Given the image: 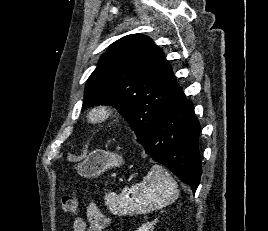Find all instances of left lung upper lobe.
<instances>
[{
	"instance_id": "obj_1",
	"label": "left lung upper lobe",
	"mask_w": 268,
	"mask_h": 231,
	"mask_svg": "<svg viewBox=\"0 0 268 231\" xmlns=\"http://www.w3.org/2000/svg\"><path fill=\"white\" fill-rule=\"evenodd\" d=\"M163 51L144 35L112 43L87 80L83 108L112 105L137 136L146 135L181 92Z\"/></svg>"
}]
</instances>
